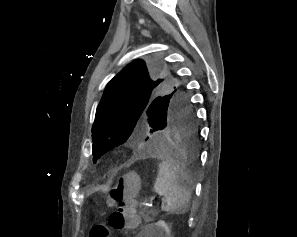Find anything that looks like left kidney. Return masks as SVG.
<instances>
[{"label": "left kidney", "instance_id": "left-kidney-1", "mask_svg": "<svg viewBox=\"0 0 297 237\" xmlns=\"http://www.w3.org/2000/svg\"><path fill=\"white\" fill-rule=\"evenodd\" d=\"M152 237H171L170 236V228L168 225L163 221L160 220L152 225Z\"/></svg>", "mask_w": 297, "mask_h": 237}]
</instances>
